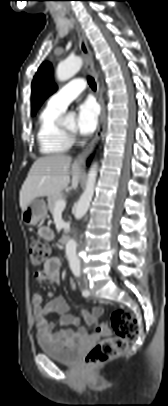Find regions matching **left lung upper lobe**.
<instances>
[{
    "label": "left lung upper lobe",
    "instance_id": "left-lung-upper-lobe-1",
    "mask_svg": "<svg viewBox=\"0 0 168 406\" xmlns=\"http://www.w3.org/2000/svg\"><path fill=\"white\" fill-rule=\"evenodd\" d=\"M57 90V86L52 80V66L49 62H44L38 69L32 82L31 107L32 115L40 107L43 101Z\"/></svg>",
    "mask_w": 168,
    "mask_h": 406
}]
</instances>
